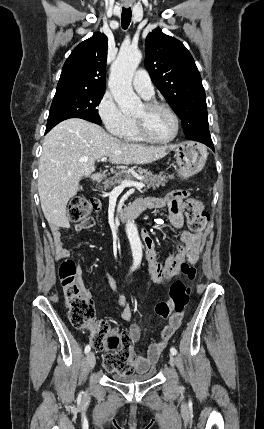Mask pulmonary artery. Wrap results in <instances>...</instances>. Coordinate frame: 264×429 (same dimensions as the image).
Returning <instances> with one entry per match:
<instances>
[{
  "label": "pulmonary artery",
  "mask_w": 264,
  "mask_h": 429,
  "mask_svg": "<svg viewBox=\"0 0 264 429\" xmlns=\"http://www.w3.org/2000/svg\"><path fill=\"white\" fill-rule=\"evenodd\" d=\"M134 89L145 99H150L154 96V86L147 71L138 70L132 80Z\"/></svg>",
  "instance_id": "pulmonary-artery-1"
}]
</instances>
